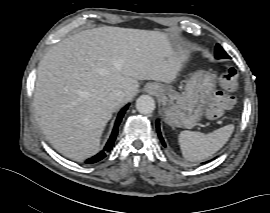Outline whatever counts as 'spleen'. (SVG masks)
Here are the masks:
<instances>
[{
	"instance_id": "1",
	"label": "spleen",
	"mask_w": 270,
	"mask_h": 213,
	"mask_svg": "<svg viewBox=\"0 0 270 213\" xmlns=\"http://www.w3.org/2000/svg\"><path fill=\"white\" fill-rule=\"evenodd\" d=\"M233 131V124L223 126L208 134L182 131L178 138L181 152L189 161L208 159L226 144Z\"/></svg>"
}]
</instances>
